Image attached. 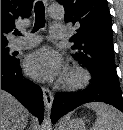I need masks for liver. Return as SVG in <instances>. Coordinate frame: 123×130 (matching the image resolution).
<instances>
[{
	"instance_id": "6515ba94",
	"label": "liver",
	"mask_w": 123,
	"mask_h": 130,
	"mask_svg": "<svg viewBox=\"0 0 123 130\" xmlns=\"http://www.w3.org/2000/svg\"><path fill=\"white\" fill-rule=\"evenodd\" d=\"M29 112L9 93L1 90V130H22Z\"/></svg>"
}]
</instances>
